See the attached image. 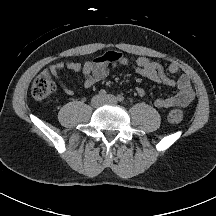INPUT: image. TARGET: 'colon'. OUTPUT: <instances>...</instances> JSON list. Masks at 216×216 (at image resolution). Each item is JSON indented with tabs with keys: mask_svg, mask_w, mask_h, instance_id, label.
<instances>
[{
	"mask_svg": "<svg viewBox=\"0 0 216 216\" xmlns=\"http://www.w3.org/2000/svg\"><path fill=\"white\" fill-rule=\"evenodd\" d=\"M54 90V81L51 74L47 71L36 76L31 86V94L38 100L48 97ZM182 120L183 111L180 108H174L168 113V121L171 124H179Z\"/></svg>",
	"mask_w": 216,
	"mask_h": 216,
	"instance_id": "5ec220e1",
	"label": "colon"
}]
</instances>
